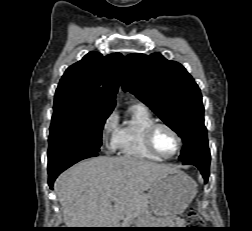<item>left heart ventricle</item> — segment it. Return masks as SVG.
Returning a JSON list of instances; mask_svg holds the SVG:
<instances>
[{"mask_svg":"<svg viewBox=\"0 0 252 231\" xmlns=\"http://www.w3.org/2000/svg\"><path fill=\"white\" fill-rule=\"evenodd\" d=\"M153 142L156 149L163 156L172 155L177 149V140L166 128H158L153 137Z\"/></svg>","mask_w":252,"mask_h":231,"instance_id":"obj_1","label":"left heart ventricle"}]
</instances>
